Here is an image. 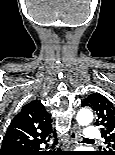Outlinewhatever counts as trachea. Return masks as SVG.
Returning a JSON list of instances; mask_svg holds the SVG:
<instances>
[{"mask_svg":"<svg viewBox=\"0 0 115 155\" xmlns=\"http://www.w3.org/2000/svg\"><path fill=\"white\" fill-rule=\"evenodd\" d=\"M83 141H90V140H88V139L84 138V139H83Z\"/></svg>","mask_w":115,"mask_h":155,"instance_id":"trachea-1","label":"trachea"}]
</instances>
